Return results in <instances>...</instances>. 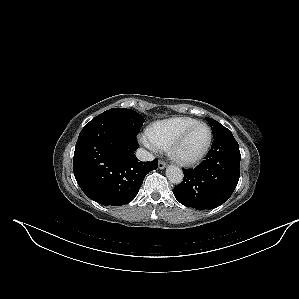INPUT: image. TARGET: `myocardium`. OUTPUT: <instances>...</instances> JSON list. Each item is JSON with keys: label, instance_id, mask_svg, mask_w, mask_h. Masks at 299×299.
<instances>
[{"label": "myocardium", "instance_id": "1", "mask_svg": "<svg viewBox=\"0 0 299 299\" xmlns=\"http://www.w3.org/2000/svg\"><path fill=\"white\" fill-rule=\"evenodd\" d=\"M200 125L205 126L208 130V140H207L205 147L203 148V150L200 153H198L197 155H195L193 157H184V156L180 155L179 149H180L181 145L183 144L184 140L186 139L188 134L195 127L200 126ZM212 141H213V132H212L211 127L208 124H206L205 122H196V123L192 124L191 126L187 127L184 131H182L174 139V141L171 143V145L168 148L169 155L178 164L193 165V164H196L199 161H201L206 156V154L209 152V150L211 148Z\"/></svg>", "mask_w": 299, "mask_h": 299}]
</instances>
